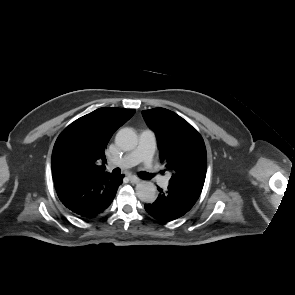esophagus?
Wrapping results in <instances>:
<instances>
[{
	"instance_id": "esophagus-1",
	"label": "esophagus",
	"mask_w": 295,
	"mask_h": 295,
	"mask_svg": "<svg viewBox=\"0 0 295 295\" xmlns=\"http://www.w3.org/2000/svg\"><path fill=\"white\" fill-rule=\"evenodd\" d=\"M129 180H130V182L133 183V184H137V183L140 182V178H138L137 176H134V175H130V176H129Z\"/></svg>"
}]
</instances>
